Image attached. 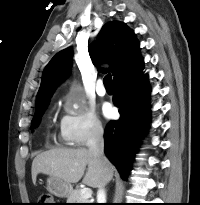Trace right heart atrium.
Instances as JSON below:
<instances>
[{
	"instance_id": "obj_1",
	"label": "right heart atrium",
	"mask_w": 200,
	"mask_h": 205,
	"mask_svg": "<svg viewBox=\"0 0 200 205\" xmlns=\"http://www.w3.org/2000/svg\"><path fill=\"white\" fill-rule=\"evenodd\" d=\"M101 121L94 112L67 103L60 119V139L67 145L83 146L103 135Z\"/></svg>"
}]
</instances>
